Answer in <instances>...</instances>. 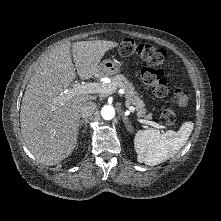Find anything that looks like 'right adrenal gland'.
<instances>
[{
  "label": "right adrenal gland",
  "instance_id": "obj_1",
  "mask_svg": "<svg viewBox=\"0 0 221 221\" xmlns=\"http://www.w3.org/2000/svg\"><path fill=\"white\" fill-rule=\"evenodd\" d=\"M87 123H88V119H82L79 123V129H81L83 124H85V128H86ZM83 132L86 133V130H84Z\"/></svg>",
  "mask_w": 221,
  "mask_h": 221
}]
</instances>
